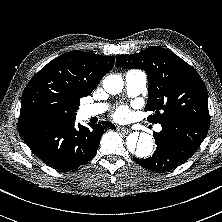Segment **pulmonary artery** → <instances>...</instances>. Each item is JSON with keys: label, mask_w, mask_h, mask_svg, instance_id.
Returning <instances> with one entry per match:
<instances>
[{"label": "pulmonary artery", "mask_w": 222, "mask_h": 222, "mask_svg": "<svg viewBox=\"0 0 222 222\" xmlns=\"http://www.w3.org/2000/svg\"><path fill=\"white\" fill-rule=\"evenodd\" d=\"M147 84V75L141 70H129L125 74V86L129 96H137L143 92ZM108 108L105 103L90 104L82 107L85 117L97 116L104 113ZM161 125H157L155 130L161 131Z\"/></svg>", "instance_id": "obj_1"}]
</instances>
